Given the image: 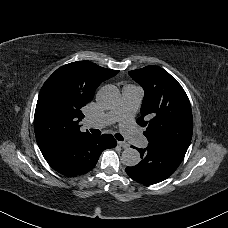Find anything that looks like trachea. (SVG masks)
<instances>
[{"label":"trachea","mask_w":228,"mask_h":228,"mask_svg":"<svg viewBox=\"0 0 228 228\" xmlns=\"http://www.w3.org/2000/svg\"><path fill=\"white\" fill-rule=\"evenodd\" d=\"M90 131L94 135H100L101 134V131L100 130H97V129H91ZM115 138L117 140H119V141H124V137L121 134H119V133H116L115 134Z\"/></svg>","instance_id":"3493384b"}]
</instances>
